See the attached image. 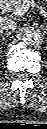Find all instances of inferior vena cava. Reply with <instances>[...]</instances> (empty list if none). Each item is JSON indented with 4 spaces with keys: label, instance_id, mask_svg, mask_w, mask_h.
<instances>
[{
    "label": "inferior vena cava",
    "instance_id": "602c4592",
    "mask_svg": "<svg viewBox=\"0 0 47 129\" xmlns=\"http://www.w3.org/2000/svg\"><path fill=\"white\" fill-rule=\"evenodd\" d=\"M17 27L15 21L9 18H2L0 22V30L1 31H14Z\"/></svg>",
    "mask_w": 47,
    "mask_h": 129
}]
</instances>
